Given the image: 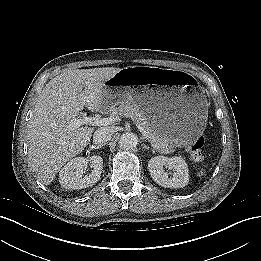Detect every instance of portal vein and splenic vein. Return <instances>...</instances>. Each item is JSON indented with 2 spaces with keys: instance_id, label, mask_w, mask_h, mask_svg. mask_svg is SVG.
<instances>
[{
  "instance_id": "18ae733b",
  "label": "portal vein and splenic vein",
  "mask_w": 261,
  "mask_h": 261,
  "mask_svg": "<svg viewBox=\"0 0 261 261\" xmlns=\"http://www.w3.org/2000/svg\"><path fill=\"white\" fill-rule=\"evenodd\" d=\"M119 116L116 117H109V118H95V117H87L81 114L79 118H75L70 124V129H77L80 126L86 124V125H92V126H106L110 125L114 121L119 120ZM133 120V119H132ZM136 127L139 129V131L142 133L143 137L148 139V133L145 130V128L139 124L137 121L133 120Z\"/></svg>"
}]
</instances>
